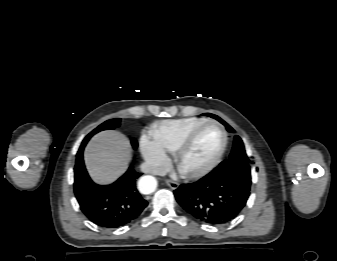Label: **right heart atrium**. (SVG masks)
Segmentation results:
<instances>
[{"instance_id":"right-heart-atrium-1","label":"right heart atrium","mask_w":337,"mask_h":261,"mask_svg":"<svg viewBox=\"0 0 337 261\" xmlns=\"http://www.w3.org/2000/svg\"><path fill=\"white\" fill-rule=\"evenodd\" d=\"M140 148L151 171L161 172L168 163L167 155L148 136H142Z\"/></svg>"}]
</instances>
